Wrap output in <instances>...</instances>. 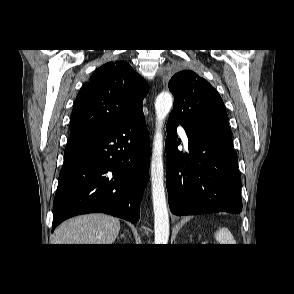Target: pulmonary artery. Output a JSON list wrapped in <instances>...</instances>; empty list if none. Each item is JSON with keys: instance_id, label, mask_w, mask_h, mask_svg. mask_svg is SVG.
I'll list each match as a JSON object with an SVG mask.
<instances>
[{"instance_id": "pulmonary-artery-1", "label": "pulmonary artery", "mask_w": 294, "mask_h": 294, "mask_svg": "<svg viewBox=\"0 0 294 294\" xmlns=\"http://www.w3.org/2000/svg\"><path fill=\"white\" fill-rule=\"evenodd\" d=\"M177 131H178V134L181 137L183 143L187 146L188 145V137H187L185 129L181 126H178Z\"/></svg>"}]
</instances>
